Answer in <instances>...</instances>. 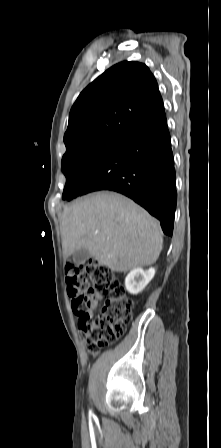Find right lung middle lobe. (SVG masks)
<instances>
[{"label": "right lung middle lobe", "mask_w": 221, "mask_h": 448, "mask_svg": "<svg viewBox=\"0 0 221 448\" xmlns=\"http://www.w3.org/2000/svg\"><path fill=\"white\" fill-rule=\"evenodd\" d=\"M118 138L85 143L67 151L62 158V172L66 176L63 199L80 196L83 188L103 163Z\"/></svg>", "instance_id": "right-lung-middle-lobe-1"}]
</instances>
